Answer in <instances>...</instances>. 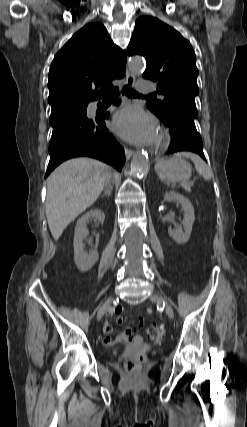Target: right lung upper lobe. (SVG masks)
Returning <instances> with one entry per match:
<instances>
[{"label": "right lung upper lobe", "instance_id": "cb5924a9", "mask_svg": "<svg viewBox=\"0 0 247 427\" xmlns=\"http://www.w3.org/2000/svg\"><path fill=\"white\" fill-rule=\"evenodd\" d=\"M126 52L99 23L84 26L56 54L49 71L52 111L86 106L125 74Z\"/></svg>", "mask_w": 247, "mask_h": 427}]
</instances>
